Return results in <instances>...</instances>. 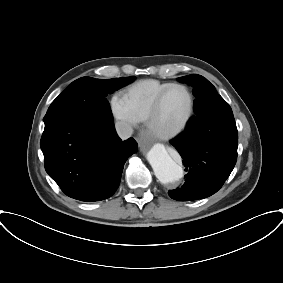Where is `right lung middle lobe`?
<instances>
[{"label": "right lung middle lobe", "instance_id": "obj_1", "mask_svg": "<svg viewBox=\"0 0 283 283\" xmlns=\"http://www.w3.org/2000/svg\"><path fill=\"white\" fill-rule=\"evenodd\" d=\"M134 79V76L113 79L79 78L52 102L44 117V123L62 116L84 117L97 112L112 118L105 97Z\"/></svg>", "mask_w": 283, "mask_h": 283}]
</instances>
